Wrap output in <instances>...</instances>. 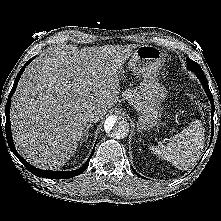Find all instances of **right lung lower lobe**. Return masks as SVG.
Returning <instances> with one entry per match:
<instances>
[{
	"mask_svg": "<svg viewBox=\"0 0 221 221\" xmlns=\"http://www.w3.org/2000/svg\"><path fill=\"white\" fill-rule=\"evenodd\" d=\"M34 58H31L29 61H27L25 63V65L21 68L20 72L17 74V77L15 79L13 88L9 94L8 100H7V104H6V108H5V114H6V125H5V131H6V139H7V143L8 146L10 148V150L15 154V156L24 164V166L34 175L38 176V177H43V178H49V179H66V178H71L74 176H77L81 173H83L85 171V169L88 167L89 165V161L90 158L93 156L94 153V149L91 153V155L89 156V158L87 159L86 163L80 167L79 169L73 170V171H52V170H40L38 168H35L33 166H31L27 161H25L16 151L13 140H12V136H11V127H10V116H9V108H10V104H11V97L12 94L15 92V89L17 87L18 81L23 73V71L25 70L26 66L33 60ZM1 127V126H0Z\"/></svg>",
	"mask_w": 221,
	"mask_h": 221,
	"instance_id": "98d812e1",
	"label": "right lung lower lobe"
}]
</instances>
